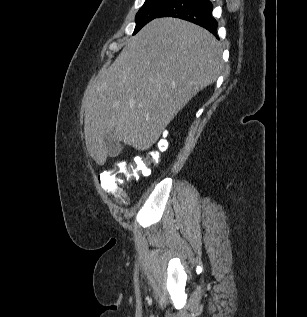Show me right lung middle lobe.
<instances>
[{
  "instance_id": "right-lung-middle-lobe-1",
  "label": "right lung middle lobe",
  "mask_w": 307,
  "mask_h": 317,
  "mask_svg": "<svg viewBox=\"0 0 307 317\" xmlns=\"http://www.w3.org/2000/svg\"><path fill=\"white\" fill-rule=\"evenodd\" d=\"M172 1L173 0H146L136 14V27L133 34H136L149 21L157 18Z\"/></svg>"
}]
</instances>
